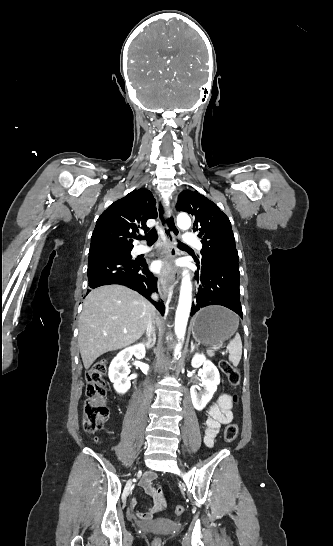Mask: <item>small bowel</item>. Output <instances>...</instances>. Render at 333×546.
Wrapping results in <instances>:
<instances>
[{"label": "small bowel", "instance_id": "1", "mask_svg": "<svg viewBox=\"0 0 333 546\" xmlns=\"http://www.w3.org/2000/svg\"><path fill=\"white\" fill-rule=\"evenodd\" d=\"M233 420L232 399L228 393L220 395L217 401L212 404L208 410L204 442L208 447L213 446L214 440L218 435L222 425H226ZM156 473L147 472L142 479L141 485L151 497V506L145 512H136L135 516L141 520L148 521L156 513L160 512L165 506V499L162 490L156 486ZM137 505L136 499H133L131 506Z\"/></svg>", "mask_w": 333, "mask_h": 546}]
</instances>
